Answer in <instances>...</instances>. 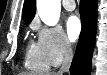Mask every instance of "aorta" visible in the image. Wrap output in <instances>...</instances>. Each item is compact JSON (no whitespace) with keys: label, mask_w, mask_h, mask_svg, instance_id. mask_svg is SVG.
<instances>
[{"label":"aorta","mask_w":107,"mask_h":75,"mask_svg":"<svg viewBox=\"0 0 107 75\" xmlns=\"http://www.w3.org/2000/svg\"><path fill=\"white\" fill-rule=\"evenodd\" d=\"M38 14L48 26H55L60 18V0H37Z\"/></svg>","instance_id":"aorta-1"}]
</instances>
